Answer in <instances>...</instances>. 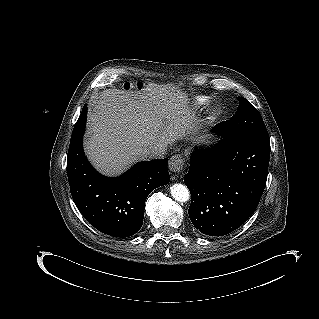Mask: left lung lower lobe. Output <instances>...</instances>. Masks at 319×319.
Returning <instances> with one entry per match:
<instances>
[{
  "label": "left lung lower lobe",
  "instance_id": "left-lung-lower-lobe-1",
  "mask_svg": "<svg viewBox=\"0 0 319 319\" xmlns=\"http://www.w3.org/2000/svg\"><path fill=\"white\" fill-rule=\"evenodd\" d=\"M222 128L223 122L213 132ZM269 157L266 137H225L215 147L196 149L184 178L194 227L208 236H223L247 221L265 188Z\"/></svg>",
  "mask_w": 319,
  "mask_h": 319
}]
</instances>
